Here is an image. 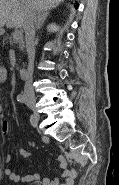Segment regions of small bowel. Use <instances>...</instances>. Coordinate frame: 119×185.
I'll list each match as a JSON object with an SVG mask.
<instances>
[{"instance_id":"c3829d8e","label":"small bowel","mask_w":119,"mask_h":185,"mask_svg":"<svg viewBox=\"0 0 119 185\" xmlns=\"http://www.w3.org/2000/svg\"><path fill=\"white\" fill-rule=\"evenodd\" d=\"M8 79V71L6 68L2 67L0 68V82L4 83ZM1 132L2 135L6 136L10 132V123L7 120H3L1 124ZM20 154L23 157V159H26L28 157H32L33 154L26 150L21 149ZM12 161V156L10 154H6L4 156V162L9 164ZM58 162L61 168V174L59 177L55 179H50L48 177H43L38 173H29L26 175H20L16 173L11 168H6L4 170L5 175L14 182H38L41 181L42 185H74V179L76 176V171L71 170L67 168L66 160L64 157H59Z\"/></svg>"}]
</instances>
